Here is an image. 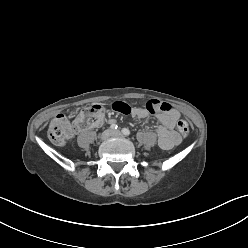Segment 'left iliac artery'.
Returning <instances> with one entry per match:
<instances>
[{"instance_id": "44dca946", "label": "left iliac artery", "mask_w": 248, "mask_h": 248, "mask_svg": "<svg viewBox=\"0 0 248 248\" xmlns=\"http://www.w3.org/2000/svg\"><path fill=\"white\" fill-rule=\"evenodd\" d=\"M121 132H122L124 135H126V136L130 135V130L127 129V128H123V129L121 130Z\"/></svg>"}]
</instances>
